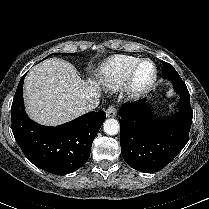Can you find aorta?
<instances>
[{"mask_svg": "<svg viewBox=\"0 0 209 209\" xmlns=\"http://www.w3.org/2000/svg\"><path fill=\"white\" fill-rule=\"evenodd\" d=\"M103 129L108 135H116L119 132L120 125L116 119L109 118L104 122Z\"/></svg>", "mask_w": 209, "mask_h": 209, "instance_id": "762f6f07", "label": "aorta"}]
</instances>
